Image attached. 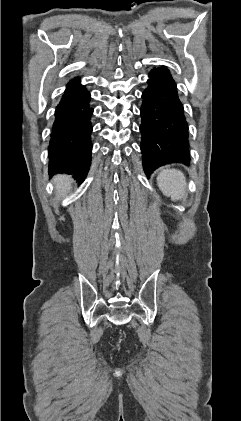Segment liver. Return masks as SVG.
<instances>
[{"label":"liver","mask_w":241,"mask_h":421,"mask_svg":"<svg viewBox=\"0 0 241 421\" xmlns=\"http://www.w3.org/2000/svg\"><path fill=\"white\" fill-rule=\"evenodd\" d=\"M53 180L57 196L62 199L66 198L71 190V178L66 175H57L53 178Z\"/></svg>","instance_id":"1"}]
</instances>
